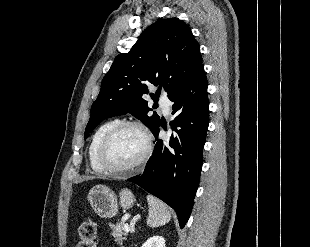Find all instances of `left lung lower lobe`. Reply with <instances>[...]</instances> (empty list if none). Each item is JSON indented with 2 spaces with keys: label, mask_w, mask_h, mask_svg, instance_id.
<instances>
[{
  "label": "left lung lower lobe",
  "mask_w": 310,
  "mask_h": 247,
  "mask_svg": "<svg viewBox=\"0 0 310 247\" xmlns=\"http://www.w3.org/2000/svg\"><path fill=\"white\" fill-rule=\"evenodd\" d=\"M207 85L202 66L169 98L174 102L172 114L175 115L170 123V138L158 139V124L152 131L157 142L144 172L128 179L172 207L180 228L190 217L200 180L209 124Z\"/></svg>",
  "instance_id": "0a47b994"
}]
</instances>
